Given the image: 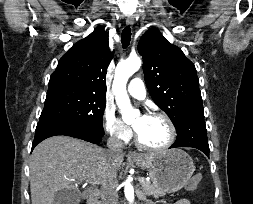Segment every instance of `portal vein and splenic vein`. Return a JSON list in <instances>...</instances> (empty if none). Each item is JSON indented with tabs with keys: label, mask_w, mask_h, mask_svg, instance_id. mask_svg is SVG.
Listing matches in <instances>:
<instances>
[{
	"label": "portal vein and splenic vein",
	"mask_w": 253,
	"mask_h": 204,
	"mask_svg": "<svg viewBox=\"0 0 253 204\" xmlns=\"http://www.w3.org/2000/svg\"><path fill=\"white\" fill-rule=\"evenodd\" d=\"M139 181H140V183H143V182H145V180H144L143 178H140V179H139ZM87 183H92V184H95V185H97V184H99V181H97V180H94V181H89V182H87Z\"/></svg>",
	"instance_id": "portal-vein-and-splenic-vein-1"
}]
</instances>
